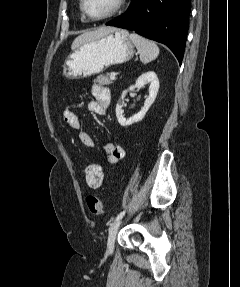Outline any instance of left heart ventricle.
<instances>
[{
  "label": "left heart ventricle",
  "instance_id": "b2bd125f",
  "mask_svg": "<svg viewBox=\"0 0 240 287\" xmlns=\"http://www.w3.org/2000/svg\"><path fill=\"white\" fill-rule=\"evenodd\" d=\"M115 0H86V9L94 17L102 16L108 13Z\"/></svg>",
  "mask_w": 240,
  "mask_h": 287
}]
</instances>
